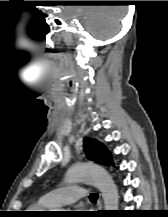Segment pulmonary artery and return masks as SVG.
<instances>
[{"label":"pulmonary artery","mask_w":168,"mask_h":217,"mask_svg":"<svg viewBox=\"0 0 168 217\" xmlns=\"http://www.w3.org/2000/svg\"><path fill=\"white\" fill-rule=\"evenodd\" d=\"M87 196V191L80 186L70 185L45 193L40 200L49 208L55 209L72 204Z\"/></svg>","instance_id":"e3ab8cb5"}]
</instances>
